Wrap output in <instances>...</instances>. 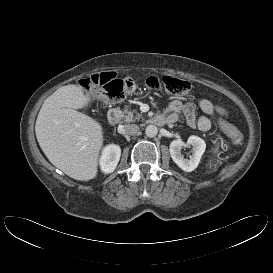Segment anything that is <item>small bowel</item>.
Instances as JSON below:
<instances>
[{"label":"small bowel","instance_id":"small-bowel-1","mask_svg":"<svg viewBox=\"0 0 273 273\" xmlns=\"http://www.w3.org/2000/svg\"><path fill=\"white\" fill-rule=\"evenodd\" d=\"M198 106L205 115L197 118V107L194 103L173 100L168 104L164 116L168 119L169 124L177 122L181 116H184L190 127L197 128L204 132L211 128V119L208 116L212 118H216L217 116H227L225 109L214 105L208 99L200 100Z\"/></svg>","mask_w":273,"mask_h":273}]
</instances>
